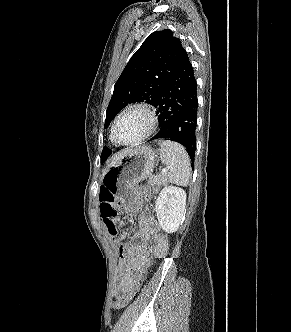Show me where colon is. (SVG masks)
Listing matches in <instances>:
<instances>
[{
    "label": "colon",
    "instance_id": "5ec220e1",
    "mask_svg": "<svg viewBox=\"0 0 291 332\" xmlns=\"http://www.w3.org/2000/svg\"><path fill=\"white\" fill-rule=\"evenodd\" d=\"M155 192V188L150 185L143 187V195L145 199H149L151 195ZM99 203H100V212L104 224L110 234L114 239H122L124 236L123 230L118 226V216L119 212L115 205V200L113 194L107 189H101L99 194ZM139 288V280L136 282L124 293H122L117 301L115 302L114 307L116 309L124 308L129 304L133 299Z\"/></svg>",
    "mask_w": 291,
    "mask_h": 332
}]
</instances>
